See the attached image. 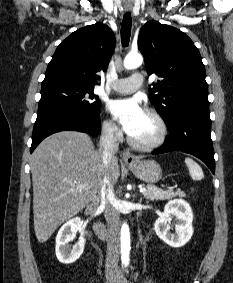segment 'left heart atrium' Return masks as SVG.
I'll return each instance as SVG.
<instances>
[{"label": "left heart atrium", "mask_w": 233, "mask_h": 283, "mask_svg": "<svg viewBox=\"0 0 233 283\" xmlns=\"http://www.w3.org/2000/svg\"><path fill=\"white\" fill-rule=\"evenodd\" d=\"M108 109L128 134L134 130L145 113L136 98L113 100L109 103Z\"/></svg>", "instance_id": "obj_1"}]
</instances>
